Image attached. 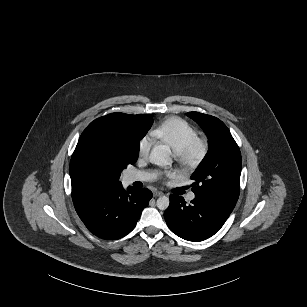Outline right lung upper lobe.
Here are the masks:
<instances>
[{"label": "right lung upper lobe", "mask_w": 307, "mask_h": 307, "mask_svg": "<svg viewBox=\"0 0 307 307\" xmlns=\"http://www.w3.org/2000/svg\"><path fill=\"white\" fill-rule=\"evenodd\" d=\"M153 124L151 114L129 115L112 113L94 120L84 130L70 162L73 202L82 200L96 191L122 185L120 175L109 162L91 159L89 150L93 139L102 137L119 152L139 148L140 140Z\"/></svg>", "instance_id": "cb5924a9"}]
</instances>
